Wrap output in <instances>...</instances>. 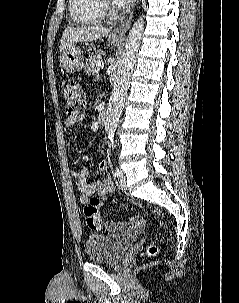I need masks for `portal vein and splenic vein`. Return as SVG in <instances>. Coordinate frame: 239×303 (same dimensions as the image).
I'll return each instance as SVG.
<instances>
[{"label": "portal vein and splenic vein", "mask_w": 239, "mask_h": 303, "mask_svg": "<svg viewBox=\"0 0 239 303\" xmlns=\"http://www.w3.org/2000/svg\"><path fill=\"white\" fill-rule=\"evenodd\" d=\"M97 67H98L99 69H103V68H104V62H103V61L99 62V63L97 64Z\"/></svg>", "instance_id": "obj_1"}]
</instances>
